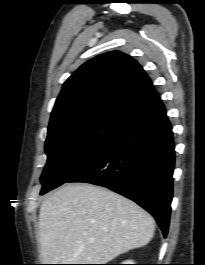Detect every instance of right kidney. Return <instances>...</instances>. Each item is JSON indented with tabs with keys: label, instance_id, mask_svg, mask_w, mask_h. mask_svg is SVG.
<instances>
[{
	"label": "right kidney",
	"instance_id": "1",
	"mask_svg": "<svg viewBox=\"0 0 205 265\" xmlns=\"http://www.w3.org/2000/svg\"><path fill=\"white\" fill-rule=\"evenodd\" d=\"M131 261V260H129ZM124 264H134V262H124Z\"/></svg>",
	"mask_w": 205,
	"mask_h": 265
}]
</instances>
